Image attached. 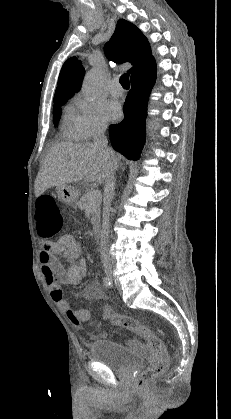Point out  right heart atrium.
Segmentation results:
<instances>
[{
    "instance_id": "obj_1",
    "label": "right heart atrium",
    "mask_w": 231,
    "mask_h": 419,
    "mask_svg": "<svg viewBox=\"0 0 231 419\" xmlns=\"http://www.w3.org/2000/svg\"><path fill=\"white\" fill-rule=\"evenodd\" d=\"M72 119L78 137L83 140L101 135L107 128L101 106L79 95L73 99Z\"/></svg>"
}]
</instances>
